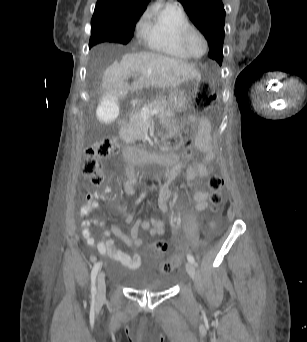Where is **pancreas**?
Here are the masks:
<instances>
[{
  "instance_id": "1",
  "label": "pancreas",
  "mask_w": 307,
  "mask_h": 342,
  "mask_svg": "<svg viewBox=\"0 0 307 342\" xmlns=\"http://www.w3.org/2000/svg\"><path fill=\"white\" fill-rule=\"evenodd\" d=\"M146 108H149V110H159L160 113L158 114V117L160 119H170L171 116H174V112L167 108L166 98H157V100H153V102H150V104H148ZM132 122H134L135 124V132H137V134H140L141 136V138H138V140H142L145 122L143 120L141 112H135V114H133Z\"/></svg>"
}]
</instances>
